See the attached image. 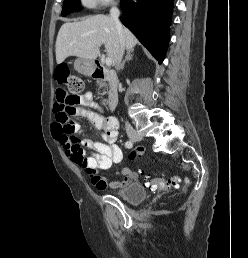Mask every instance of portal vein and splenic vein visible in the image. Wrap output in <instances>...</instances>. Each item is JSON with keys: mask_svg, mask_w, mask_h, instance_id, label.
Returning a JSON list of instances; mask_svg holds the SVG:
<instances>
[{"mask_svg": "<svg viewBox=\"0 0 248 258\" xmlns=\"http://www.w3.org/2000/svg\"><path fill=\"white\" fill-rule=\"evenodd\" d=\"M105 64H106L107 66H110V65L112 64V60H111L109 57H107V58L105 59Z\"/></svg>", "mask_w": 248, "mask_h": 258, "instance_id": "portal-vein-and-splenic-vein-1", "label": "portal vein and splenic vein"}]
</instances>
